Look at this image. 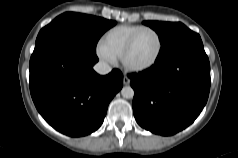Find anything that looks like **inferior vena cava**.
Masks as SVG:
<instances>
[{"label":"inferior vena cava","instance_id":"obj_1","mask_svg":"<svg viewBox=\"0 0 238 158\" xmlns=\"http://www.w3.org/2000/svg\"><path fill=\"white\" fill-rule=\"evenodd\" d=\"M94 70L101 75H106L111 72V67L104 61H99L95 64Z\"/></svg>","mask_w":238,"mask_h":158}]
</instances>
